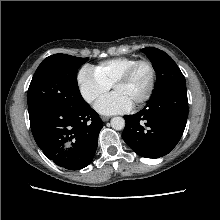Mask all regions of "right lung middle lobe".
Wrapping results in <instances>:
<instances>
[{
    "mask_svg": "<svg viewBox=\"0 0 220 220\" xmlns=\"http://www.w3.org/2000/svg\"><path fill=\"white\" fill-rule=\"evenodd\" d=\"M89 58L54 54L45 58L30 83L27 100L29 116L51 107L75 110L87 103L77 84V69Z\"/></svg>",
    "mask_w": 220,
    "mask_h": 220,
    "instance_id": "dd1d6c3e",
    "label": "right lung middle lobe"
}]
</instances>
